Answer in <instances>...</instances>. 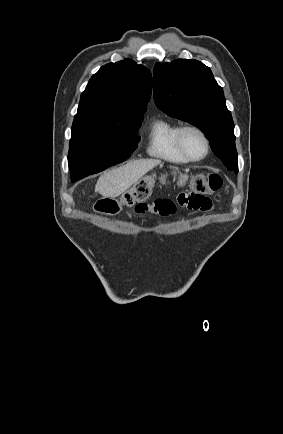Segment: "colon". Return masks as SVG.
<instances>
[{
    "instance_id": "5ec220e1",
    "label": "colon",
    "mask_w": 283,
    "mask_h": 434,
    "mask_svg": "<svg viewBox=\"0 0 283 434\" xmlns=\"http://www.w3.org/2000/svg\"><path fill=\"white\" fill-rule=\"evenodd\" d=\"M153 184V178H144L126 191L120 199L100 200L96 204V210L102 214L114 215L125 206H133L144 202L150 196ZM221 185L222 179L216 173H201L195 175L192 179L194 191L201 194H213L220 189Z\"/></svg>"
}]
</instances>
